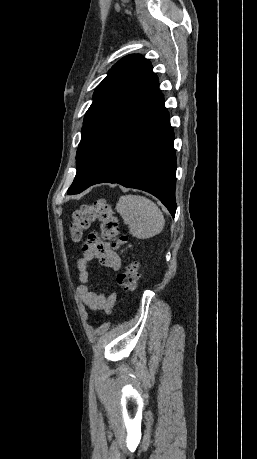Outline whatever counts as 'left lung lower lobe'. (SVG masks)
I'll return each instance as SVG.
<instances>
[{
  "mask_svg": "<svg viewBox=\"0 0 257 459\" xmlns=\"http://www.w3.org/2000/svg\"><path fill=\"white\" fill-rule=\"evenodd\" d=\"M157 84L155 76L107 134L102 163L91 185L118 183L147 191L156 196L174 217V133Z\"/></svg>",
  "mask_w": 257,
  "mask_h": 459,
  "instance_id": "left-lung-lower-lobe-1",
  "label": "left lung lower lobe"
}]
</instances>
